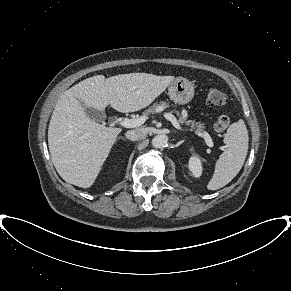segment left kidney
<instances>
[{
    "label": "left kidney",
    "instance_id": "5707ae66",
    "mask_svg": "<svg viewBox=\"0 0 291 291\" xmlns=\"http://www.w3.org/2000/svg\"><path fill=\"white\" fill-rule=\"evenodd\" d=\"M189 170L195 177H200L202 174L201 160L197 155H193L189 159Z\"/></svg>",
    "mask_w": 291,
    "mask_h": 291
}]
</instances>
